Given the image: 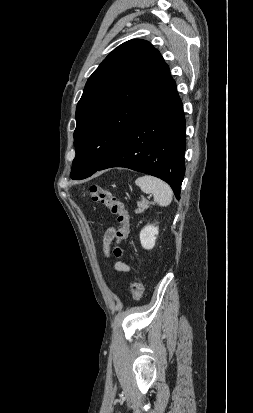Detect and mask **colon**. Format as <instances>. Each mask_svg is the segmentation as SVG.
Listing matches in <instances>:
<instances>
[{
  "instance_id": "colon-1",
  "label": "colon",
  "mask_w": 253,
  "mask_h": 413,
  "mask_svg": "<svg viewBox=\"0 0 253 413\" xmlns=\"http://www.w3.org/2000/svg\"><path fill=\"white\" fill-rule=\"evenodd\" d=\"M84 194L90 198L106 206L110 212L116 217L119 228L115 232L116 244L112 250L115 258L123 256L121 244L129 237L130 232V216L124 203L116 198L110 191L105 190L97 185H91L83 189ZM129 291L132 293L135 301H140L143 295V286L140 279L136 276L134 281L129 285Z\"/></svg>"
}]
</instances>
